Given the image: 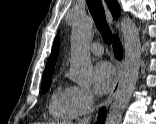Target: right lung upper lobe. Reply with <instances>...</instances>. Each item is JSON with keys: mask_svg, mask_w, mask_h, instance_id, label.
<instances>
[{"mask_svg": "<svg viewBox=\"0 0 156 124\" xmlns=\"http://www.w3.org/2000/svg\"><path fill=\"white\" fill-rule=\"evenodd\" d=\"M106 2H107V5H108L110 11L112 12V15L115 18L119 17L120 7H119V4L117 3V1L116 0H106ZM59 47H60V42H59V38L57 36L54 40L53 48H52L50 57L47 61V65L44 70L43 76L52 75L54 66H55V61L58 56Z\"/></svg>", "mask_w": 156, "mask_h": 124, "instance_id": "cb5924a9", "label": "right lung upper lobe"}]
</instances>
